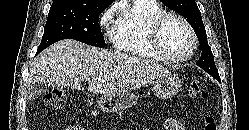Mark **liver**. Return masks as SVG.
Returning <instances> with one entry per match:
<instances>
[{
	"label": "liver",
	"mask_w": 249,
	"mask_h": 130,
	"mask_svg": "<svg viewBox=\"0 0 249 130\" xmlns=\"http://www.w3.org/2000/svg\"><path fill=\"white\" fill-rule=\"evenodd\" d=\"M170 74L157 62L140 56L86 46L75 40L59 41L41 52L31 65L28 86L40 82L111 95L127 93Z\"/></svg>",
	"instance_id": "1"
}]
</instances>
